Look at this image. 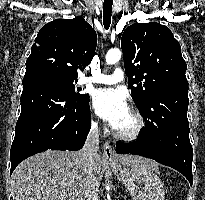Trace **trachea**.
I'll use <instances>...</instances> for the list:
<instances>
[{
	"label": "trachea",
	"mask_w": 205,
	"mask_h": 200,
	"mask_svg": "<svg viewBox=\"0 0 205 200\" xmlns=\"http://www.w3.org/2000/svg\"><path fill=\"white\" fill-rule=\"evenodd\" d=\"M112 0H105L103 4V23L104 28L109 29L112 16Z\"/></svg>",
	"instance_id": "1"
}]
</instances>
